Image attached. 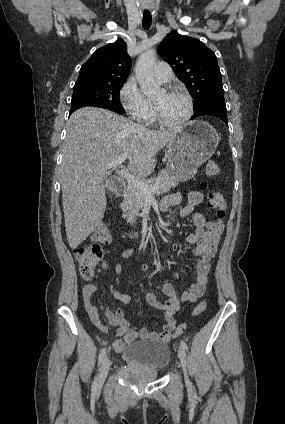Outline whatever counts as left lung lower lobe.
Instances as JSON below:
<instances>
[{
    "mask_svg": "<svg viewBox=\"0 0 285 424\" xmlns=\"http://www.w3.org/2000/svg\"><path fill=\"white\" fill-rule=\"evenodd\" d=\"M204 115L217 117L221 119L226 125H228L227 109L224 96L217 95L206 99L197 108H194V115L191 119Z\"/></svg>",
    "mask_w": 285,
    "mask_h": 424,
    "instance_id": "left-lung-lower-lobe-1",
    "label": "left lung lower lobe"
}]
</instances>
